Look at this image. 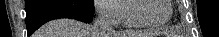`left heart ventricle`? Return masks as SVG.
<instances>
[{"label":"left heart ventricle","mask_w":219,"mask_h":37,"mask_svg":"<svg viewBox=\"0 0 219 37\" xmlns=\"http://www.w3.org/2000/svg\"><path fill=\"white\" fill-rule=\"evenodd\" d=\"M137 14L148 21L160 22L167 18L169 8L164 0H144L137 3Z\"/></svg>","instance_id":"b2bd125f"}]
</instances>
